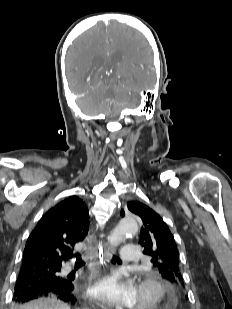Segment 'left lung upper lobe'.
<instances>
[{
  "mask_svg": "<svg viewBox=\"0 0 232 309\" xmlns=\"http://www.w3.org/2000/svg\"><path fill=\"white\" fill-rule=\"evenodd\" d=\"M128 209L142 220L139 244L143 253L151 257V262L168 281L182 284L183 277L177 245L167 224L150 207L140 202H128ZM121 210V216H124Z\"/></svg>",
  "mask_w": 232,
  "mask_h": 309,
  "instance_id": "5c2ea615",
  "label": "left lung upper lobe"
}]
</instances>
